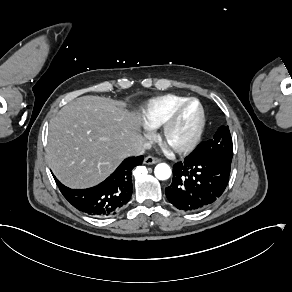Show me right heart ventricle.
Instances as JSON below:
<instances>
[{"instance_id":"right-heart-ventricle-1","label":"right heart ventricle","mask_w":292,"mask_h":292,"mask_svg":"<svg viewBox=\"0 0 292 292\" xmlns=\"http://www.w3.org/2000/svg\"><path fill=\"white\" fill-rule=\"evenodd\" d=\"M186 99V96L174 93L152 98L140 109V116L146 124L153 127H160L173 108Z\"/></svg>"}]
</instances>
